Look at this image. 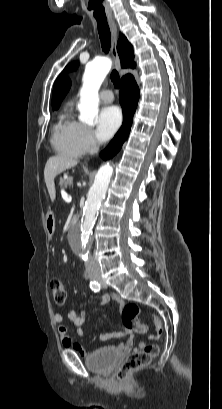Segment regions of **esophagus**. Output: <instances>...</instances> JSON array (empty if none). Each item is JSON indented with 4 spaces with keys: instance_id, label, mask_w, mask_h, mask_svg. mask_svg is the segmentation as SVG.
<instances>
[{
    "instance_id": "1",
    "label": "esophagus",
    "mask_w": 222,
    "mask_h": 409,
    "mask_svg": "<svg viewBox=\"0 0 222 409\" xmlns=\"http://www.w3.org/2000/svg\"><path fill=\"white\" fill-rule=\"evenodd\" d=\"M111 33H112V46H111V54L115 60V64L118 70H121L120 58L117 52V40H118V33L117 27L114 21L109 22Z\"/></svg>"
}]
</instances>
